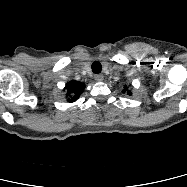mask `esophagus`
<instances>
[{
  "label": "esophagus",
  "instance_id": "esophagus-1",
  "mask_svg": "<svg viewBox=\"0 0 187 187\" xmlns=\"http://www.w3.org/2000/svg\"><path fill=\"white\" fill-rule=\"evenodd\" d=\"M94 78H95L96 81H102L104 76L102 74H97V75L94 76Z\"/></svg>",
  "mask_w": 187,
  "mask_h": 187
}]
</instances>
